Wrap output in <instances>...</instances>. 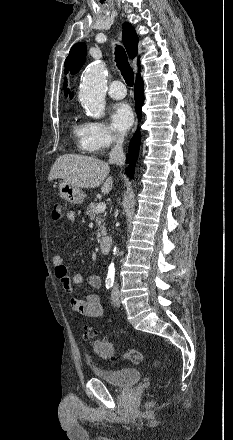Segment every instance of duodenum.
Masks as SVG:
<instances>
[{"label": "duodenum", "instance_id": "1", "mask_svg": "<svg viewBox=\"0 0 233 440\" xmlns=\"http://www.w3.org/2000/svg\"><path fill=\"white\" fill-rule=\"evenodd\" d=\"M112 244L110 237H104L99 240V246L102 252H108Z\"/></svg>", "mask_w": 233, "mask_h": 440}]
</instances>
